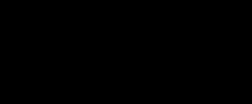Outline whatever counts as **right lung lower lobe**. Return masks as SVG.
<instances>
[{"label": "right lung lower lobe", "mask_w": 252, "mask_h": 104, "mask_svg": "<svg viewBox=\"0 0 252 104\" xmlns=\"http://www.w3.org/2000/svg\"><path fill=\"white\" fill-rule=\"evenodd\" d=\"M33 94L39 104H113L122 90L108 72L56 56L35 70Z\"/></svg>", "instance_id": "1"}]
</instances>
